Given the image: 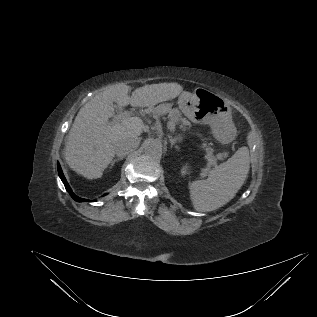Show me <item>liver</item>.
I'll list each match as a JSON object with an SVG mask.
<instances>
[{
    "mask_svg": "<svg viewBox=\"0 0 317 317\" xmlns=\"http://www.w3.org/2000/svg\"><path fill=\"white\" fill-rule=\"evenodd\" d=\"M183 91L178 83H159L137 88L118 84L93 97L78 112L67 135L64 157L69 167L88 179L100 178L114 157V144L125 137H139L143 131L140 118L129 117L109 122L119 106L153 107L176 98Z\"/></svg>",
    "mask_w": 317,
    "mask_h": 317,
    "instance_id": "liver-1",
    "label": "liver"
}]
</instances>
